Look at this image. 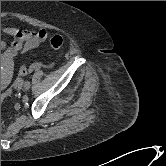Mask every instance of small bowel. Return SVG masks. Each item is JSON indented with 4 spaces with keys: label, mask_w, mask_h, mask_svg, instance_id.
<instances>
[{
    "label": "small bowel",
    "mask_w": 166,
    "mask_h": 166,
    "mask_svg": "<svg viewBox=\"0 0 166 166\" xmlns=\"http://www.w3.org/2000/svg\"><path fill=\"white\" fill-rule=\"evenodd\" d=\"M1 32L13 38L10 45L1 40V76L10 75L14 66V58L19 52L37 48L48 37L45 29L30 31L17 27H3Z\"/></svg>",
    "instance_id": "1"
}]
</instances>
